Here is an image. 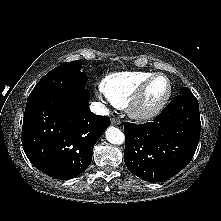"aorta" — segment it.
<instances>
[{"mask_svg":"<svg viewBox=\"0 0 221 221\" xmlns=\"http://www.w3.org/2000/svg\"><path fill=\"white\" fill-rule=\"evenodd\" d=\"M105 135L106 139L111 144L120 145L125 140L124 133L119 128H116L114 126L108 127Z\"/></svg>","mask_w":221,"mask_h":221,"instance_id":"obj_1","label":"aorta"}]
</instances>
